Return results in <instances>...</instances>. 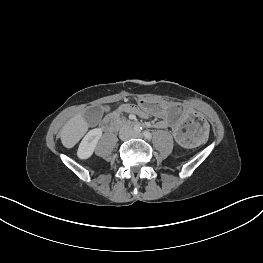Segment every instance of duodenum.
<instances>
[{"instance_id": "410a0bca", "label": "duodenum", "mask_w": 263, "mask_h": 263, "mask_svg": "<svg viewBox=\"0 0 263 263\" xmlns=\"http://www.w3.org/2000/svg\"><path fill=\"white\" fill-rule=\"evenodd\" d=\"M132 124H133V122L120 120L116 116H109L104 121L105 127L108 128V129H111V130L115 129V128H118V127L130 126Z\"/></svg>"}]
</instances>
